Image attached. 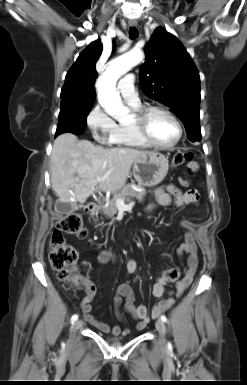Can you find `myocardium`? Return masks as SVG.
I'll return each instance as SVG.
<instances>
[{
	"label": "myocardium",
	"mask_w": 247,
	"mask_h": 385,
	"mask_svg": "<svg viewBox=\"0 0 247 385\" xmlns=\"http://www.w3.org/2000/svg\"><path fill=\"white\" fill-rule=\"evenodd\" d=\"M155 112H160V113L167 115L175 123L176 128H177V137L175 138V140L172 143L159 144L151 138V136L148 132V120H149L150 116ZM132 126L135 129V131L137 132V134L141 137V139L146 144H148L149 146L161 149V150H168V149L175 147L180 142V140L183 136V127H182L180 120L170 110H168L164 107H161V106H147V107L140 109L135 115V119L132 123Z\"/></svg>",
	"instance_id": "1"
}]
</instances>
